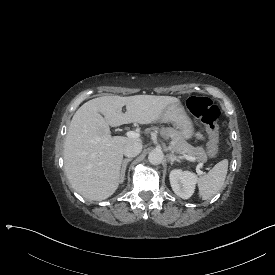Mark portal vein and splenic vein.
<instances>
[{
    "label": "portal vein and splenic vein",
    "mask_w": 275,
    "mask_h": 275,
    "mask_svg": "<svg viewBox=\"0 0 275 275\" xmlns=\"http://www.w3.org/2000/svg\"><path fill=\"white\" fill-rule=\"evenodd\" d=\"M127 135L130 137V138H140L141 137V133H139V132H136V131H130V132H128L127 133ZM182 155V157L184 158V159H186V160H189V161H193V158L192 157H190V156H188L187 154H181ZM201 166H202V164H198L197 165V172H199V173H201V171H200V168H201Z\"/></svg>",
    "instance_id": "portal-vein-and-splenic-vein-1"
}]
</instances>
